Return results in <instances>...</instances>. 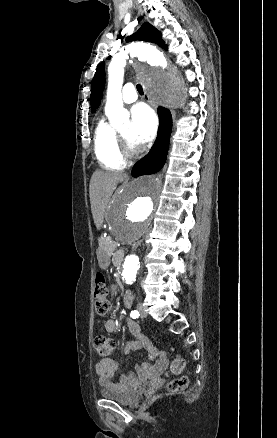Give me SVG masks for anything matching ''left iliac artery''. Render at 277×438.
Instances as JSON below:
<instances>
[{"mask_svg": "<svg viewBox=\"0 0 277 438\" xmlns=\"http://www.w3.org/2000/svg\"><path fill=\"white\" fill-rule=\"evenodd\" d=\"M130 316H131L133 319H135V318H138V317H139V313H138L137 310H133V311H131Z\"/></svg>", "mask_w": 277, "mask_h": 438, "instance_id": "obj_1", "label": "left iliac artery"}]
</instances>
